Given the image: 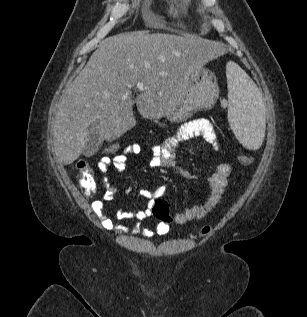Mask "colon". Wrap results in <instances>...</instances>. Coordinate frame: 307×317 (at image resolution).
Here are the masks:
<instances>
[{
	"label": "colon",
	"instance_id": "colon-1",
	"mask_svg": "<svg viewBox=\"0 0 307 317\" xmlns=\"http://www.w3.org/2000/svg\"><path fill=\"white\" fill-rule=\"evenodd\" d=\"M130 145L124 146L122 144H109L103 152L110 158L124 157L128 155ZM238 162L243 166L252 165L254 157L249 154H240L238 156ZM76 167L80 175V185L84 194L88 197L93 196L96 193L97 187L94 179L93 170L85 160H79ZM152 214L165 224H169L172 221V217L169 213L168 203L163 199H157L152 207ZM212 227L207 225L201 229V235L207 236L211 232Z\"/></svg>",
	"mask_w": 307,
	"mask_h": 317
}]
</instances>
